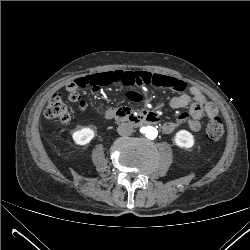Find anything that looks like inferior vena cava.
Returning a JSON list of instances; mask_svg holds the SVG:
<instances>
[{"label":"inferior vena cava","mask_w":250,"mask_h":250,"mask_svg":"<svg viewBox=\"0 0 250 250\" xmlns=\"http://www.w3.org/2000/svg\"><path fill=\"white\" fill-rule=\"evenodd\" d=\"M132 131H133V128L128 123H121V124H119V126L117 128V132L121 136L129 135L132 133Z\"/></svg>","instance_id":"obj_1"}]
</instances>
